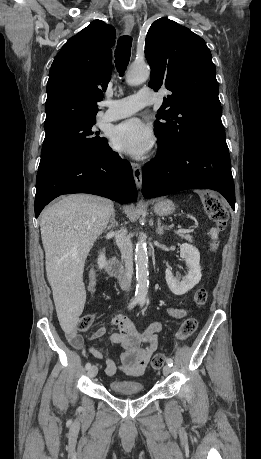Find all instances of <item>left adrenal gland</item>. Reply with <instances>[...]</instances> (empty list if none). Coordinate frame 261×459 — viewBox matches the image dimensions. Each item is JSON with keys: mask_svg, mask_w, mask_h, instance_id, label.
<instances>
[{"mask_svg": "<svg viewBox=\"0 0 261 459\" xmlns=\"http://www.w3.org/2000/svg\"><path fill=\"white\" fill-rule=\"evenodd\" d=\"M166 230H169L168 226L166 225H162V222L160 219L157 220V228H156V232L158 233V235H163L164 231Z\"/></svg>", "mask_w": 261, "mask_h": 459, "instance_id": "obj_1", "label": "left adrenal gland"}]
</instances>
